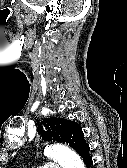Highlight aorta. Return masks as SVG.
Returning a JSON list of instances; mask_svg holds the SVG:
<instances>
[{"label": "aorta", "instance_id": "aorta-1", "mask_svg": "<svg viewBox=\"0 0 127 168\" xmlns=\"http://www.w3.org/2000/svg\"><path fill=\"white\" fill-rule=\"evenodd\" d=\"M44 154L59 163L62 168H85L79 155L64 145L53 144L47 146L44 150Z\"/></svg>", "mask_w": 127, "mask_h": 168}]
</instances>
